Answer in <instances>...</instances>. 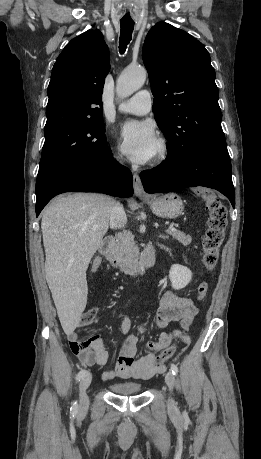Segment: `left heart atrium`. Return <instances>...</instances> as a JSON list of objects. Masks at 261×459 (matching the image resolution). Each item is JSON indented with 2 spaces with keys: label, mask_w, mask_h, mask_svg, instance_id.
<instances>
[{
  "label": "left heart atrium",
  "mask_w": 261,
  "mask_h": 459,
  "mask_svg": "<svg viewBox=\"0 0 261 459\" xmlns=\"http://www.w3.org/2000/svg\"><path fill=\"white\" fill-rule=\"evenodd\" d=\"M120 140L123 152L131 161L139 164L153 157L157 145L154 128L146 121L131 120L124 123Z\"/></svg>",
  "instance_id": "39dd6f15"
}]
</instances>
